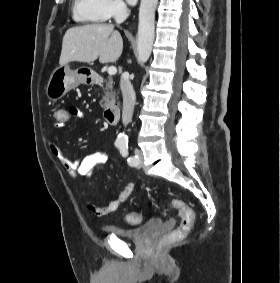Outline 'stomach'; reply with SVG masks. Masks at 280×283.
Masks as SVG:
<instances>
[{"label":"stomach","instance_id":"stomach-1","mask_svg":"<svg viewBox=\"0 0 280 283\" xmlns=\"http://www.w3.org/2000/svg\"><path fill=\"white\" fill-rule=\"evenodd\" d=\"M91 72L87 68L72 70L67 64L60 65L50 75L46 86V96L51 101L61 99L68 91L91 81Z\"/></svg>","mask_w":280,"mask_h":283}]
</instances>
